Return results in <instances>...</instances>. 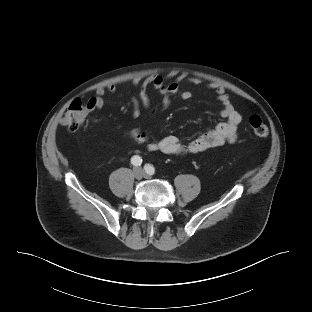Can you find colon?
Masks as SVG:
<instances>
[{
    "label": "colon",
    "mask_w": 312,
    "mask_h": 312,
    "mask_svg": "<svg viewBox=\"0 0 312 312\" xmlns=\"http://www.w3.org/2000/svg\"><path fill=\"white\" fill-rule=\"evenodd\" d=\"M88 111V107L85 103L80 100H74L69 104L62 115L61 124L70 130H77L83 125ZM249 126L256 136L261 138L267 137L268 127L259 116H251L249 119Z\"/></svg>",
    "instance_id": "colon-1"
}]
</instances>
